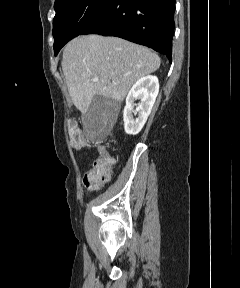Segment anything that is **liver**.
<instances>
[{
    "mask_svg": "<svg viewBox=\"0 0 240 288\" xmlns=\"http://www.w3.org/2000/svg\"><path fill=\"white\" fill-rule=\"evenodd\" d=\"M160 63L147 47L118 37L87 35L68 43L62 69L72 102L86 114L96 95L123 101L131 86ZM94 77L99 80L94 82Z\"/></svg>",
    "mask_w": 240,
    "mask_h": 288,
    "instance_id": "liver-1",
    "label": "liver"
}]
</instances>
